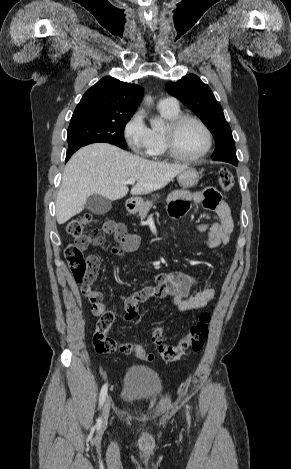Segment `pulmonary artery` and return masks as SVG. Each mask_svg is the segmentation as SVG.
Instances as JSON below:
<instances>
[{"instance_id": "obj_1", "label": "pulmonary artery", "mask_w": 291, "mask_h": 469, "mask_svg": "<svg viewBox=\"0 0 291 469\" xmlns=\"http://www.w3.org/2000/svg\"><path fill=\"white\" fill-rule=\"evenodd\" d=\"M160 107L178 108V101L174 97H166L159 101Z\"/></svg>"}]
</instances>
